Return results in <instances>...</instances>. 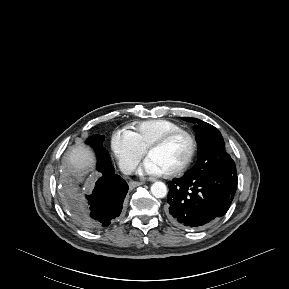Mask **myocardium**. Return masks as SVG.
Segmentation results:
<instances>
[{
    "mask_svg": "<svg viewBox=\"0 0 289 289\" xmlns=\"http://www.w3.org/2000/svg\"><path fill=\"white\" fill-rule=\"evenodd\" d=\"M179 136H186L190 140V143H191L190 153L183 164H181L179 167H177L176 169H174L170 172L164 173L163 175L165 177H176L178 175H181L191 166V164L193 163V161L196 157L197 150H198V141H197L196 136L192 132L184 130V129L175 130V131H172V132L165 134L164 136H162L161 138H159L158 140L153 142L146 150V156L149 157V155L153 151L164 147L169 142H171L173 139H175Z\"/></svg>",
    "mask_w": 289,
    "mask_h": 289,
    "instance_id": "f54148a6",
    "label": "myocardium"
}]
</instances>
